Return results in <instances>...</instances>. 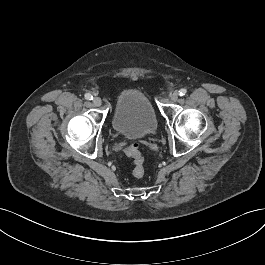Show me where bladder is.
<instances>
[{
  "instance_id": "1",
  "label": "bladder",
  "mask_w": 265,
  "mask_h": 265,
  "mask_svg": "<svg viewBox=\"0 0 265 265\" xmlns=\"http://www.w3.org/2000/svg\"><path fill=\"white\" fill-rule=\"evenodd\" d=\"M112 124L116 133L141 139L156 131L158 121L147 95L140 89L130 88L117 97Z\"/></svg>"
}]
</instances>
